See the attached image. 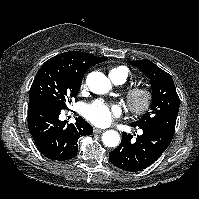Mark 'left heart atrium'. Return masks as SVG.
Segmentation results:
<instances>
[{"label": "left heart atrium", "mask_w": 199, "mask_h": 199, "mask_svg": "<svg viewBox=\"0 0 199 199\" xmlns=\"http://www.w3.org/2000/svg\"><path fill=\"white\" fill-rule=\"evenodd\" d=\"M121 109L103 101H95L84 108V116L94 125L107 126L119 117Z\"/></svg>", "instance_id": "left-heart-atrium-1"}]
</instances>
